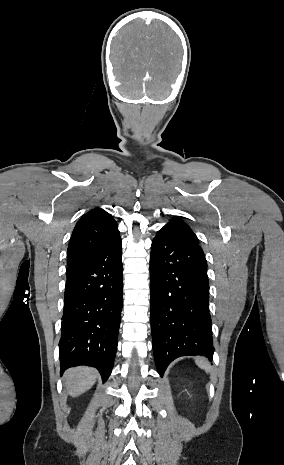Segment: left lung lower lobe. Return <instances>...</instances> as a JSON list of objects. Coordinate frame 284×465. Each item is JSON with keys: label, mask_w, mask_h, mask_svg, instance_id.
<instances>
[{"label": "left lung lower lobe", "mask_w": 284, "mask_h": 465, "mask_svg": "<svg viewBox=\"0 0 284 465\" xmlns=\"http://www.w3.org/2000/svg\"><path fill=\"white\" fill-rule=\"evenodd\" d=\"M152 346L162 376L176 358L212 359L209 281L202 248L183 234L161 229L150 254Z\"/></svg>", "instance_id": "1"}]
</instances>
